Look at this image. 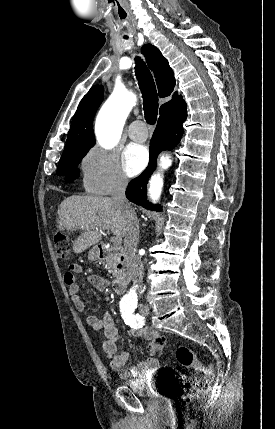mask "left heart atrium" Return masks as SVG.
Wrapping results in <instances>:
<instances>
[{
  "instance_id": "39dd6f15",
  "label": "left heart atrium",
  "mask_w": 275,
  "mask_h": 429,
  "mask_svg": "<svg viewBox=\"0 0 275 429\" xmlns=\"http://www.w3.org/2000/svg\"><path fill=\"white\" fill-rule=\"evenodd\" d=\"M148 162V150L138 144L129 145L123 154V166L129 176L140 173Z\"/></svg>"
}]
</instances>
